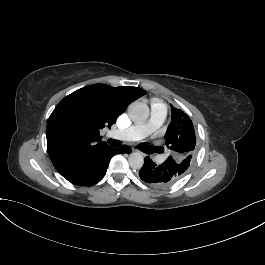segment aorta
Here are the masks:
<instances>
[{
  "label": "aorta",
  "instance_id": "obj_1",
  "mask_svg": "<svg viewBox=\"0 0 265 265\" xmlns=\"http://www.w3.org/2000/svg\"><path fill=\"white\" fill-rule=\"evenodd\" d=\"M128 112L133 121L138 123L145 122L149 117V107L142 102L135 101L128 107ZM128 162L131 168L140 169L144 164V157L139 152H133L128 157Z\"/></svg>",
  "mask_w": 265,
  "mask_h": 265
}]
</instances>
